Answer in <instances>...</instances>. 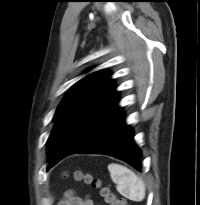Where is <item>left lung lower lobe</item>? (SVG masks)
I'll use <instances>...</instances> for the list:
<instances>
[{"mask_svg":"<svg viewBox=\"0 0 200 205\" xmlns=\"http://www.w3.org/2000/svg\"><path fill=\"white\" fill-rule=\"evenodd\" d=\"M124 119L117 98L66 156L75 153L106 154L123 160L140 171L141 151L134 144L133 132L125 124Z\"/></svg>","mask_w":200,"mask_h":205,"instance_id":"obj_1","label":"left lung lower lobe"}]
</instances>
